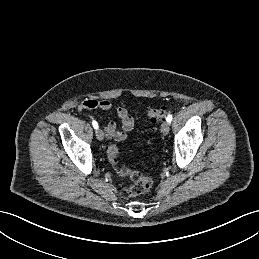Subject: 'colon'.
<instances>
[{
	"label": "colon",
	"mask_w": 259,
	"mask_h": 259,
	"mask_svg": "<svg viewBox=\"0 0 259 259\" xmlns=\"http://www.w3.org/2000/svg\"><path fill=\"white\" fill-rule=\"evenodd\" d=\"M167 114L165 107H153L148 110L147 116L152 123L160 122ZM107 157L114 167L116 173L122 177H129L132 185L122 191L125 198L139 196L149 191L152 185L151 178L139 171L122 168L119 166V149L116 145H110L107 148Z\"/></svg>",
	"instance_id": "obj_1"
}]
</instances>
